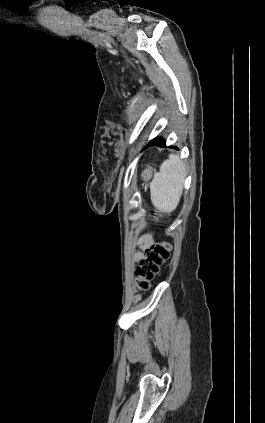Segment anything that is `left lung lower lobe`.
<instances>
[{"label": "left lung lower lobe", "instance_id": "1", "mask_svg": "<svg viewBox=\"0 0 265 423\" xmlns=\"http://www.w3.org/2000/svg\"><path fill=\"white\" fill-rule=\"evenodd\" d=\"M154 144L163 146V145H165V142L162 138L157 137V138L153 139L147 146L154 145Z\"/></svg>", "mask_w": 265, "mask_h": 423}]
</instances>
